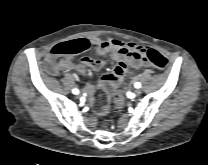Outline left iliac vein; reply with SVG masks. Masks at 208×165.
<instances>
[{
    "mask_svg": "<svg viewBox=\"0 0 208 165\" xmlns=\"http://www.w3.org/2000/svg\"><path fill=\"white\" fill-rule=\"evenodd\" d=\"M141 93H142V91H141L140 89H136V90L134 91V95H135V96H140Z\"/></svg>",
    "mask_w": 208,
    "mask_h": 165,
    "instance_id": "1",
    "label": "left iliac vein"
}]
</instances>
